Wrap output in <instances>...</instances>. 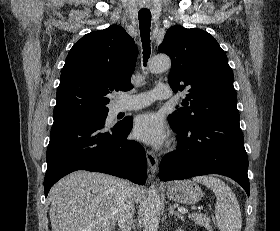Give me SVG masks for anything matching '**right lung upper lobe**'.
Segmentation results:
<instances>
[{
  "instance_id": "1",
  "label": "right lung upper lobe",
  "mask_w": 280,
  "mask_h": 231,
  "mask_svg": "<svg viewBox=\"0 0 280 231\" xmlns=\"http://www.w3.org/2000/svg\"><path fill=\"white\" fill-rule=\"evenodd\" d=\"M138 48L117 25L86 34L69 51L56 94L53 125L108 113L112 91H128Z\"/></svg>"
}]
</instances>
